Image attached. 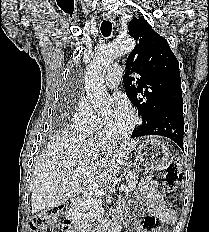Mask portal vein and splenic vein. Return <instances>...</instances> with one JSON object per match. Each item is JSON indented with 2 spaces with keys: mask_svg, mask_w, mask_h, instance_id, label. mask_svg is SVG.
<instances>
[{
  "mask_svg": "<svg viewBox=\"0 0 209 232\" xmlns=\"http://www.w3.org/2000/svg\"><path fill=\"white\" fill-rule=\"evenodd\" d=\"M77 172H79L83 179L88 184L89 188L98 196L103 197L105 195L104 190L96 183L94 175H92L87 169L78 167L76 169ZM126 190V187L124 184H122L119 188V191L123 192Z\"/></svg>",
  "mask_w": 209,
  "mask_h": 232,
  "instance_id": "1",
  "label": "portal vein and splenic vein"
}]
</instances>
